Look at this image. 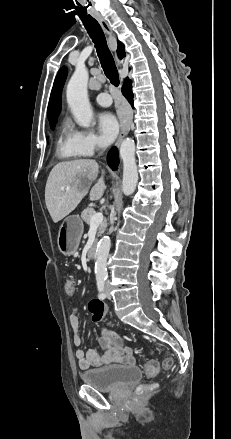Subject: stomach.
<instances>
[{"label": "stomach", "mask_w": 231, "mask_h": 439, "mask_svg": "<svg viewBox=\"0 0 231 439\" xmlns=\"http://www.w3.org/2000/svg\"><path fill=\"white\" fill-rule=\"evenodd\" d=\"M83 229V223L78 216H69L64 220L57 239L58 248L62 254L71 256L77 251Z\"/></svg>", "instance_id": "stomach-1"}]
</instances>
